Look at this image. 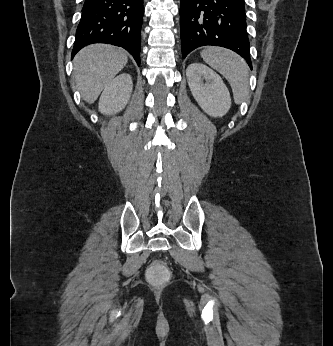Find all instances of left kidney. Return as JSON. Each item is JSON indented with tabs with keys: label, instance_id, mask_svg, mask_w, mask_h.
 <instances>
[{
	"label": "left kidney",
	"instance_id": "5707ae66",
	"mask_svg": "<svg viewBox=\"0 0 333 346\" xmlns=\"http://www.w3.org/2000/svg\"><path fill=\"white\" fill-rule=\"evenodd\" d=\"M186 76L194 99L211 117L224 116L231 107L230 93L221 77L202 63L187 67Z\"/></svg>",
	"mask_w": 333,
	"mask_h": 346
}]
</instances>
